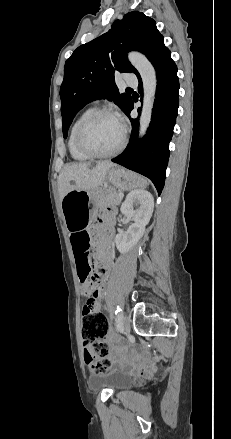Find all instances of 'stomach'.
Here are the masks:
<instances>
[{"label": "stomach", "instance_id": "stomach-1", "mask_svg": "<svg viewBox=\"0 0 231 439\" xmlns=\"http://www.w3.org/2000/svg\"><path fill=\"white\" fill-rule=\"evenodd\" d=\"M105 179L109 189L99 186L91 191L71 190L61 201L64 221L69 230H82L96 213L97 203L105 191L111 189L131 190L145 187L148 183L143 177L120 167L108 170Z\"/></svg>", "mask_w": 231, "mask_h": 439}]
</instances>
